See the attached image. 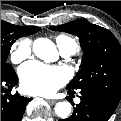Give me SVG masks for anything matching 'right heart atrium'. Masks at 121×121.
Instances as JSON below:
<instances>
[{"label":"right heart atrium","mask_w":121,"mask_h":121,"mask_svg":"<svg viewBox=\"0 0 121 121\" xmlns=\"http://www.w3.org/2000/svg\"><path fill=\"white\" fill-rule=\"evenodd\" d=\"M32 54V44L29 39H20L16 41L11 48V60L14 63H20L29 58Z\"/></svg>","instance_id":"d8ad5b80"}]
</instances>
